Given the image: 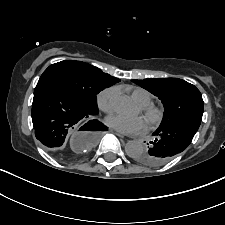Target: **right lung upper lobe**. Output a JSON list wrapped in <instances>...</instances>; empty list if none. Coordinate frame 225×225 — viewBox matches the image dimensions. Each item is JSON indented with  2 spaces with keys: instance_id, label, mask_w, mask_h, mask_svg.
Listing matches in <instances>:
<instances>
[{
  "instance_id": "cb5924a9",
  "label": "right lung upper lobe",
  "mask_w": 225,
  "mask_h": 225,
  "mask_svg": "<svg viewBox=\"0 0 225 225\" xmlns=\"http://www.w3.org/2000/svg\"><path fill=\"white\" fill-rule=\"evenodd\" d=\"M106 74V73H105ZM108 75V74H107ZM110 77V79L115 83L119 82L120 80L115 78V77H111L110 75H108Z\"/></svg>"
}]
</instances>
